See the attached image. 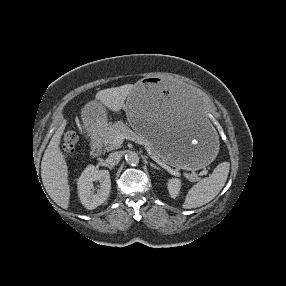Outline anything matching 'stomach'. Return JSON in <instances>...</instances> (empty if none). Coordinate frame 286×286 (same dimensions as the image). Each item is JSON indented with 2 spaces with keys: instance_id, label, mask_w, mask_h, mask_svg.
<instances>
[{
  "instance_id": "0dacf381",
  "label": "stomach",
  "mask_w": 286,
  "mask_h": 286,
  "mask_svg": "<svg viewBox=\"0 0 286 286\" xmlns=\"http://www.w3.org/2000/svg\"><path fill=\"white\" fill-rule=\"evenodd\" d=\"M126 114L131 128L171 166L198 170L216 156V135L207 104L187 88L143 78L127 97ZM82 120L89 132L100 131L110 123L111 113L103 103L93 102L83 109Z\"/></svg>"
}]
</instances>
